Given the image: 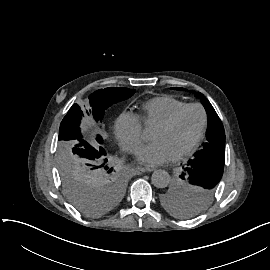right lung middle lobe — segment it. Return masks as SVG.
<instances>
[{"label":"right lung middle lobe","mask_w":270,"mask_h":270,"mask_svg":"<svg viewBox=\"0 0 270 270\" xmlns=\"http://www.w3.org/2000/svg\"><path fill=\"white\" fill-rule=\"evenodd\" d=\"M135 89L105 88L89 95L82 109L74 104L62 120L57 144V168L68 202L87 216H99L113 208L122 198L126 177L122 167L101 146L97 135L92 147L83 139L79 125L86 113L101 121L105 109L130 98Z\"/></svg>","instance_id":"1"}]
</instances>
